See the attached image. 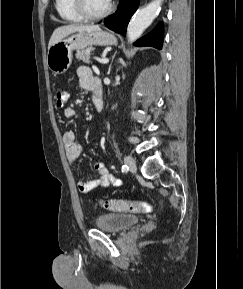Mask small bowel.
I'll return each instance as SVG.
<instances>
[{
	"label": "small bowel",
	"mask_w": 243,
	"mask_h": 289,
	"mask_svg": "<svg viewBox=\"0 0 243 289\" xmlns=\"http://www.w3.org/2000/svg\"><path fill=\"white\" fill-rule=\"evenodd\" d=\"M76 77L79 86L92 94L94 103L93 92L97 87H101L99 79L94 77L92 71L86 66L77 68ZM64 115L68 119H74L76 117V111L72 107H67L64 110ZM62 140L68 161L71 164L75 163L81 156L83 149L81 145L77 143L74 132L71 130L65 131L62 135ZM94 168L98 173V178L91 181L78 182L77 187L80 192L88 194L97 189L107 188L109 185H113L115 187L123 186V181L113 176L102 161H97L94 164Z\"/></svg>",
	"instance_id": "1"
}]
</instances>
